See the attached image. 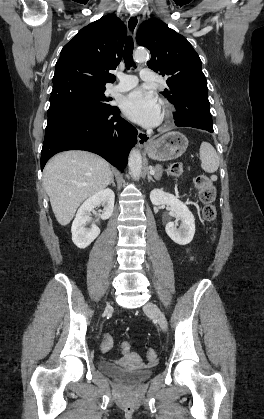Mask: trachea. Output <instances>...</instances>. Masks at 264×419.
Masks as SVG:
<instances>
[{"instance_id":"trachea-1","label":"trachea","mask_w":264,"mask_h":419,"mask_svg":"<svg viewBox=\"0 0 264 419\" xmlns=\"http://www.w3.org/2000/svg\"><path fill=\"white\" fill-rule=\"evenodd\" d=\"M133 47H134L133 39L132 37L129 36L126 40L124 52H123V58H124L125 66L127 69H129L131 66H134L133 57H132Z\"/></svg>"}]
</instances>
